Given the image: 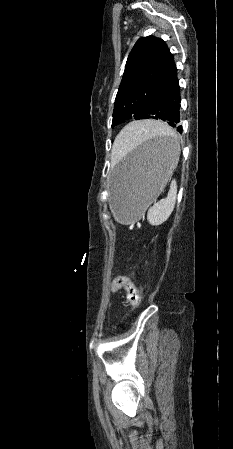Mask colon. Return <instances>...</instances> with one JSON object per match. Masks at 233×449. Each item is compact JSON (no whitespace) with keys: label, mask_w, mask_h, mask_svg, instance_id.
Listing matches in <instances>:
<instances>
[{"label":"colon","mask_w":233,"mask_h":449,"mask_svg":"<svg viewBox=\"0 0 233 449\" xmlns=\"http://www.w3.org/2000/svg\"><path fill=\"white\" fill-rule=\"evenodd\" d=\"M109 288L111 289L110 292L112 294L120 292L123 288L126 291L130 309L135 310L139 306L140 294L137 286L130 276L122 275L119 277H114Z\"/></svg>","instance_id":"colon-1"}]
</instances>
